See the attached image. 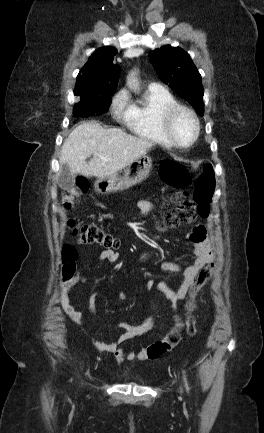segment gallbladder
I'll use <instances>...</instances> for the list:
<instances>
[{
	"mask_svg": "<svg viewBox=\"0 0 264 433\" xmlns=\"http://www.w3.org/2000/svg\"><path fill=\"white\" fill-rule=\"evenodd\" d=\"M57 183L63 190H69L74 186L75 178L67 164L60 165Z\"/></svg>",
	"mask_w": 264,
	"mask_h": 433,
	"instance_id": "obj_1",
	"label": "gallbladder"
}]
</instances>
